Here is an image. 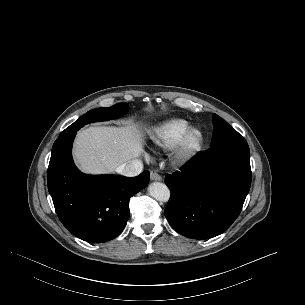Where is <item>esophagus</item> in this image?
Masks as SVG:
<instances>
[{"instance_id":"obj_1","label":"esophagus","mask_w":305,"mask_h":305,"mask_svg":"<svg viewBox=\"0 0 305 305\" xmlns=\"http://www.w3.org/2000/svg\"><path fill=\"white\" fill-rule=\"evenodd\" d=\"M150 179L152 180V181H161V176L158 174V173H156V172H151L150 173Z\"/></svg>"}]
</instances>
